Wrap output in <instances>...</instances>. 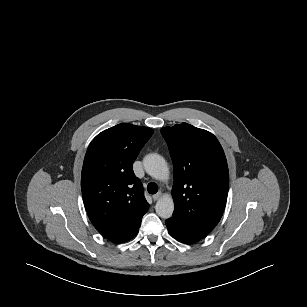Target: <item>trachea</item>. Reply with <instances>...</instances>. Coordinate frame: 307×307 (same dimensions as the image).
I'll list each match as a JSON object with an SVG mask.
<instances>
[{"label": "trachea", "mask_w": 307, "mask_h": 307, "mask_svg": "<svg viewBox=\"0 0 307 307\" xmlns=\"http://www.w3.org/2000/svg\"><path fill=\"white\" fill-rule=\"evenodd\" d=\"M147 190L150 194H156L157 191H158V186L156 183L154 182H150L148 185H147Z\"/></svg>", "instance_id": "1"}]
</instances>
